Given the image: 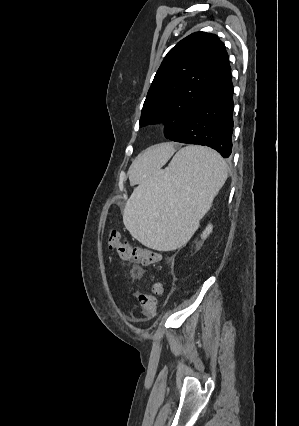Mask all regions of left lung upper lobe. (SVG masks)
Listing matches in <instances>:
<instances>
[{
  "instance_id": "5c2ea615",
  "label": "left lung upper lobe",
  "mask_w": 299,
  "mask_h": 426,
  "mask_svg": "<svg viewBox=\"0 0 299 426\" xmlns=\"http://www.w3.org/2000/svg\"><path fill=\"white\" fill-rule=\"evenodd\" d=\"M230 69L225 46L215 34L187 36L162 61L145 99L140 125L162 120L165 137L172 140Z\"/></svg>"
}]
</instances>
